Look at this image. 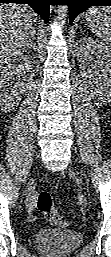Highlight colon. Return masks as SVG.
I'll use <instances>...</instances> for the list:
<instances>
[{"mask_svg":"<svg viewBox=\"0 0 111 257\" xmlns=\"http://www.w3.org/2000/svg\"><path fill=\"white\" fill-rule=\"evenodd\" d=\"M36 206L45 219L52 225L65 228L67 222L62 218L53 204V199L48 191H40L36 196Z\"/></svg>","mask_w":111,"mask_h":257,"instance_id":"obj_1","label":"colon"}]
</instances>
